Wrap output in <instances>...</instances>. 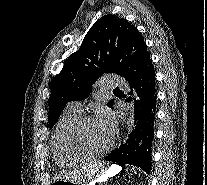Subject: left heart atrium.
<instances>
[{
	"instance_id": "obj_1",
	"label": "left heart atrium",
	"mask_w": 207,
	"mask_h": 185,
	"mask_svg": "<svg viewBox=\"0 0 207 185\" xmlns=\"http://www.w3.org/2000/svg\"><path fill=\"white\" fill-rule=\"evenodd\" d=\"M95 122L106 130L109 134L113 135L116 130V119L111 110L102 107L98 110Z\"/></svg>"
}]
</instances>
